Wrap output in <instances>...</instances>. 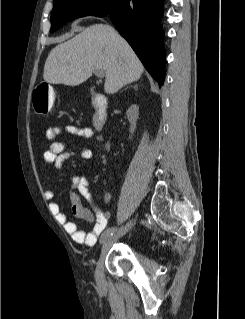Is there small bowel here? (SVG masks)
<instances>
[{
  "label": "small bowel",
  "mask_w": 245,
  "mask_h": 319,
  "mask_svg": "<svg viewBox=\"0 0 245 319\" xmlns=\"http://www.w3.org/2000/svg\"><path fill=\"white\" fill-rule=\"evenodd\" d=\"M66 132L71 135L79 136L86 140L94 139V132L88 127H77L75 125H67L61 127H50L46 130L45 138L49 142V147L43 154V161L47 165H53L60 169L63 164L73 156H78L80 159L87 160L91 157V151L88 148L82 149L78 154L67 149L63 142L56 141L58 135L62 132ZM91 178L88 176H81L78 174H72L71 185L72 188L77 190L81 196H83L91 204V209L83 206L79 195L72 192L69 196L71 202V211L73 215L87 222H92L93 226L90 231L81 229L76 221L68 219L66 213H64L60 207V204L51 201L50 209L56 216L58 222H60L65 231L71 236L72 240L79 244L94 245L102 232L105 230L108 221L111 217L110 212L103 210L95 202L93 195L90 191ZM44 196L46 199L51 200L54 197V192L50 189L45 190ZM111 194L106 193L104 195V204H109Z\"/></svg>",
  "instance_id": "c3829d8e"
}]
</instances>
